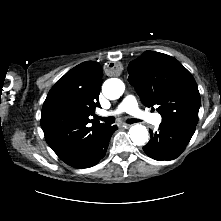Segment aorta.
Listing matches in <instances>:
<instances>
[{"label": "aorta", "instance_id": "obj_1", "mask_svg": "<svg viewBox=\"0 0 221 221\" xmlns=\"http://www.w3.org/2000/svg\"><path fill=\"white\" fill-rule=\"evenodd\" d=\"M124 83L118 78H111L104 82L102 92L110 100L118 99L124 93ZM129 136L135 145L141 146L148 141V130L141 124L132 126L129 130Z\"/></svg>", "mask_w": 221, "mask_h": 221}]
</instances>
